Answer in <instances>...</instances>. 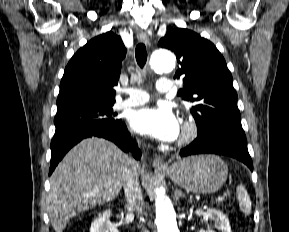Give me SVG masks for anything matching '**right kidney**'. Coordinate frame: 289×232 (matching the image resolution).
Segmentation results:
<instances>
[{
    "mask_svg": "<svg viewBox=\"0 0 289 232\" xmlns=\"http://www.w3.org/2000/svg\"><path fill=\"white\" fill-rule=\"evenodd\" d=\"M110 211L98 215L91 224L90 232H119L110 221Z\"/></svg>",
    "mask_w": 289,
    "mask_h": 232,
    "instance_id": "1",
    "label": "right kidney"
}]
</instances>
